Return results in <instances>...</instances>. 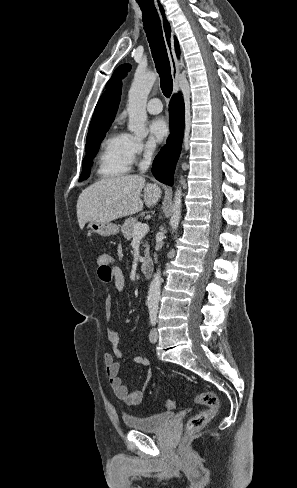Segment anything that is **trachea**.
<instances>
[{
	"label": "trachea",
	"mask_w": 297,
	"mask_h": 488,
	"mask_svg": "<svg viewBox=\"0 0 297 488\" xmlns=\"http://www.w3.org/2000/svg\"><path fill=\"white\" fill-rule=\"evenodd\" d=\"M137 1L143 14L144 30L147 35L157 72L160 76L162 92L166 97H170L173 89V80L157 10L153 2Z\"/></svg>",
	"instance_id": "obj_1"
}]
</instances>
